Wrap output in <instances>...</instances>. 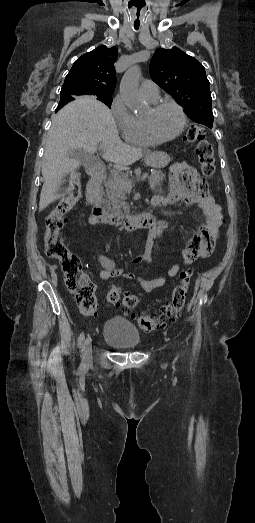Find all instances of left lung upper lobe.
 <instances>
[{
    "label": "left lung upper lobe",
    "instance_id": "left-lung-upper-lobe-1",
    "mask_svg": "<svg viewBox=\"0 0 255 523\" xmlns=\"http://www.w3.org/2000/svg\"><path fill=\"white\" fill-rule=\"evenodd\" d=\"M150 75L194 122L212 128L210 84L201 63L177 48H159L151 59Z\"/></svg>",
    "mask_w": 255,
    "mask_h": 523
}]
</instances>
